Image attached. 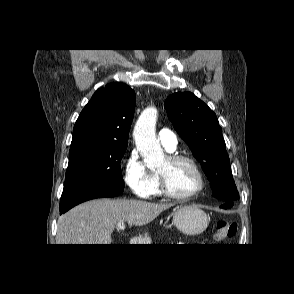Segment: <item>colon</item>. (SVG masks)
Instances as JSON below:
<instances>
[{"label":"colon","mask_w":294,"mask_h":294,"mask_svg":"<svg viewBox=\"0 0 294 294\" xmlns=\"http://www.w3.org/2000/svg\"><path fill=\"white\" fill-rule=\"evenodd\" d=\"M237 225L233 221H220L216 225L215 239L218 242H223L231 238L236 233Z\"/></svg>","instance_id":"obj_1"}]
</instances>
